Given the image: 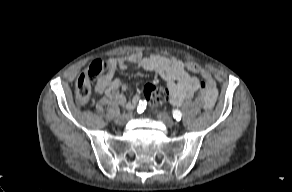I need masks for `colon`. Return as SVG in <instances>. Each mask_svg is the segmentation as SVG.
Wrapping results in <instances>:
<instances>
[{"mask_svg":"<svg viewBox=\"0 0 292 192\" xmlns=\"http://www.w3.org/2000/svg\"><path fill=\"white\" fill-rule=\"evenodd\" d=\"M109 63L105 60H95L81 73L75 85V97L80 104H85L91 93V82L108 70ZM143 94L150 106L164 103L168 98V91L162 87L147 84Z\"/></svg>","mask_w":292,"mask_h":192,"instance_id":"obj_1","label":"colon"}]
</instances>
